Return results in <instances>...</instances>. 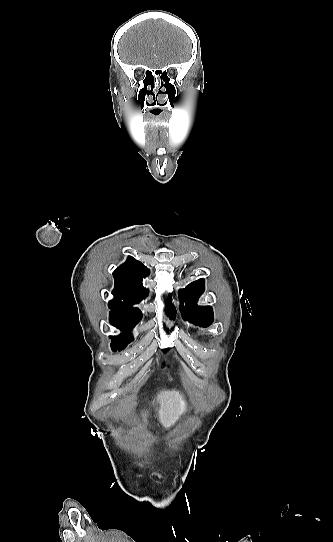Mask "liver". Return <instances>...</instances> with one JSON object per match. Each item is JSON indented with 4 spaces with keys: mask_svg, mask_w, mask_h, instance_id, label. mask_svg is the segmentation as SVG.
<instances>
[{
    "mask_svg": "<svg viewBox=\"0 0 333 542\" xmlns=\"http://www.w3.org/2000/svg\"><path fill=\"white\" fill-rule=\"evenodd\" d=\"M159 398V404L161 408L159 410L161 424L164 428H171L179 416H182L186 412V404L180 396L179 392H161Z\"/></svg>",
    "mask_w": 333,
    "mask_h": 542,
    "instance_id": "6515ba94",
    "label": "liver"
}]
</instances>
